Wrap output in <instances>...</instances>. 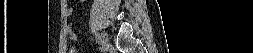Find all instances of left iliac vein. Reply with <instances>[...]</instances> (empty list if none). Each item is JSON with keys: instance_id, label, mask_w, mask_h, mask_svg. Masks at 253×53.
Returning <instances> with one entry per match:
<instances>
[{"instance_id": "4c4485c4", "label": "left iliac vein", "mask_w": 253, "mask_h": 53, "mask_svg": "<svg viewBox=\"0 0 253 53\" xmlns=\"http://www.w3.org/2000/svg\"><path fill=\"white\" fill-rule=\"evenodd\" d=\"M100 41L103 42V45H102L103 48H106V47L108 46V44H109V39H108L106 33H102V34L100 35Z\"/></svg>"}]
</instances>
